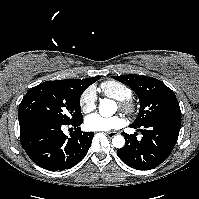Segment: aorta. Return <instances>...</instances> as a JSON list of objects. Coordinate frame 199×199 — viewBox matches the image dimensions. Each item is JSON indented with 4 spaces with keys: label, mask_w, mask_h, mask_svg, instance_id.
<instances>
[{
    "label": "aorta",
    "mask_w": 199,
    "mask_h": 199,
    "mask_svg": "<svg viewBox=\"0 0 199 199\" xmlns=\"http://www.w3.org/2000/svg\"><path fill=\"white\" fill-rule=\"evenodd\" d=\"M117 111V104L110 99H102L99 104V113L103 117H110ZM112 145L115 148H122L125 145V139L121 135H116L112 139Z\"/></svg>",
    "instance_id": "obj_1"
}]
</instances>
